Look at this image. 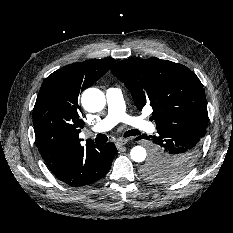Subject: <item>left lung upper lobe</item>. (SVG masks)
Segmentation results:
<instances>
[{"instance_id":"left-lung-upper-lobe-1","label":"left lung upper lobe","mask_w":233,"mask_h":233,"mask_svg":"<svg viewBox=\"0 0 233 233\" xmlns=\"http://www.w3.org/2000/svg\"><path fill=\"white\" fill-rule=\"evenodd\" d=\"M112 73L128 88L140 111L146 104L152 106L151 119L157 130L192 128L205 135L208 112L204 89L186 66L155 57L130 58L117 63ZM191 168L177 171L180 177H176L162 172L169 168L161 161L151 160L143 173L151 179L172 182L183 178Z\"/></svg>"}]
</instances>
